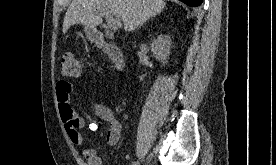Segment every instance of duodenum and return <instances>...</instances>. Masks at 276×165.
I'll return each instance as SVG.
<instances>
[{
  "mask_svg": "<svg viewBox=\"0 0 276 165\" xmlns=\"http://www.w3.org/2000/svg\"><path fill=\"white\" fill-rule=\"evenodd\" d=\"M91 38L97 46L102 48L103 52L110 59L113 67L116 70H121L124 64V58L121 49L116 44L106 41L100 32L93 33Z\"/></svg>",
  "mask_w": 276,
  "mask_h": 165,
  "instance_id": "duodenum-1",
  "label": "duodenum"
}]
</instances>
